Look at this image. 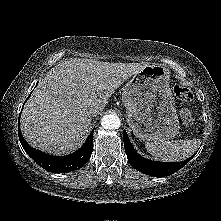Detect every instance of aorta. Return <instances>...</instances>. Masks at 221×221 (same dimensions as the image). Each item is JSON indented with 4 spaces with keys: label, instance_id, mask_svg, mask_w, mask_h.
<instances>
[{
    "label": "aorta",
    "instance_id": "aorta-1",
    "mask_svg": "<svg viewBox=\"0 0 221 221\" xmlns=\"http://www.w3.org/2000/svg\"><path fill=\"white\" fill-rule=\"evenodd\" d=\"M101 126L107 130H114L120 127V119L113 114L104 115L101 119Z\"/></svg>",
    "mask_w": 221,
    "mask_h": 221
}]
</instances>
